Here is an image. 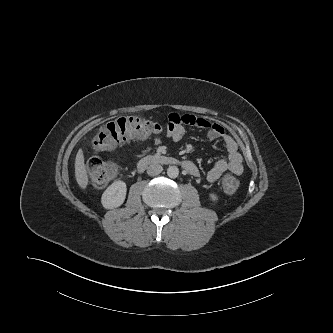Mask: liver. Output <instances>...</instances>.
I'll return each instance as SVG.
<instances>
[{"label": "liver", "instance_id": "obj_1", "mask_svg": "<svg viewBox=\"0 0 333 333\" xmlns=\"http://www.w3.org/2000/svg\"><path fill=\"white\" fill-rule=\"evenodd\" d=\"M84 161L83 150L80 148L75 158V178L79 187L83 190L86 189L88 185V176Z\"/></svg>", "mask_w": 333, "mask_h": 333}]
</instances>
